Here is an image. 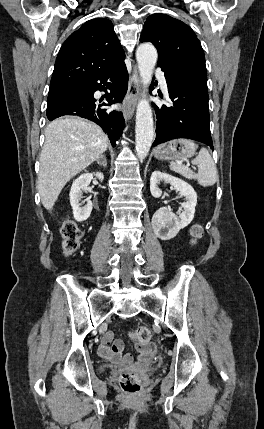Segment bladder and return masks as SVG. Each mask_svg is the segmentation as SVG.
<instances>
[{
  "mask_svg": "<svg viewBox=\"0 0 264 429\" xmlns=\"http://www.w3.org/2000/svg\"><path fill=\"white\" fill-rule=\"evenodd\" d=\"M156 369H157V367L154 365H149V366L144 367V371H146V372H153Z\"/></svg>",
  "mask_w": 264,
  "mask_h": 429,
  "instance_id": "1",
  "label": "bladder"
}]
</instances>
